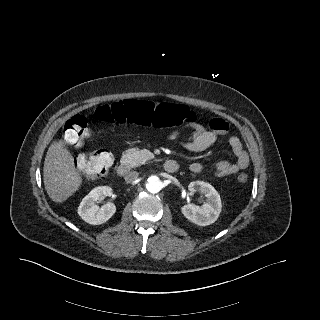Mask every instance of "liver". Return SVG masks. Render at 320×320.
Instances as JSON below:
<instances>
[{
  "instance_id": "obj_1",
  "label": "liver",
  "mask_w": 320,
  "mask_h": 320,
  "mask_svg": "<svg viewBox=\"0 0 320 320\" xmlns=\"http://www.w3.org/2000/svg\"><path fill=\"white\" fill-rule=\"evenodd\" d=\"M43 181L47 194L56 203L67 200L82 183L72 155L58 142H53L48 148L43 167Z\"/></svg>"
}]
</instances>
